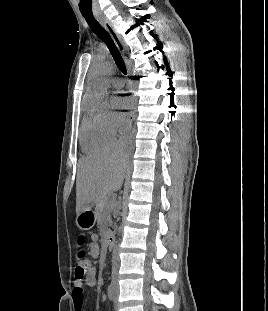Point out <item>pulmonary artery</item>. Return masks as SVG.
<instances>
[{"label": "pulmonary artery", "mask_w": 268, "mask_h": 311, "mask_svg": "<svg viewBox=\"0 0 268 311\" xmlns=\"http://www.w3.org/2000/svg\"><path fill=\"white\" fill-rule=\"evenodd\" d=\"M112 85L116 89H120L123 86V81L119 78H116L112 81Z\"/></svg>", "instance_id": "pulmonary-artery-1"}]
</instances>
